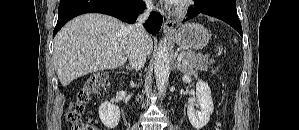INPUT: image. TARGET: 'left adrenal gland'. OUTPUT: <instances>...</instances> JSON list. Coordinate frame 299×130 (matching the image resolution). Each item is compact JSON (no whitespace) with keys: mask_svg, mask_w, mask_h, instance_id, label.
I'll list each match as a JSON object with an SVG mask.
<instances>
[{"mask_svg":"<svg viewBox=\"0 0 299 130\" xmlns=\"http://www.w3.org/2000/svg\"><path fill=\"white\" fill-rule=\"evenodd\" d=\"M175 68L177 69V70H180V71H182L183 69L181 68V64H180V62H176V65H175Z\"/></svg>","mask_w":299,"mask_h":130,"instance_id":"left-adrenal-gland-1","label":"left adrenal gland"}]
</instances>
